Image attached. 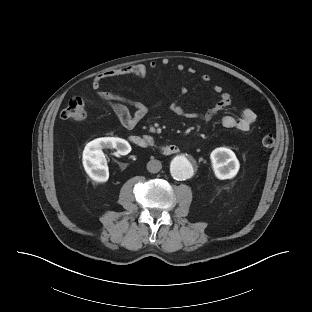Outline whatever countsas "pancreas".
Returning a JSON list of instances; mask_svg holds the SVG:
<instances>
[{"mask_svg":"<svg viewBox=\"0 0 312 312\" xmlns=\"http://www.w3.org/2000/svg\"><path fill=\"white\" fill-rule=\"evenodd\" d=\"M150 143H151V144L153 143V140H152V139H150Z\"/></svg>","mask_w":312,"mask_h":312,"instance_id":"1","label":"pancreas"}]
</instances>
